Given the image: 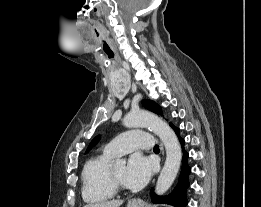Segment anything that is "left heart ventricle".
Segmentation results:
<instances>
[{"label": "left heart ventricle", "mask_w": 261, "mask_h": 207, "mask_svg": "<svg viewBox=\"0 0 261 207\" xmlns=\"http://www.w3.org/2000/svg\"><path fill=\"white\" fill-rule=\"evenodd\" d=\"M112 168H113L114 175L116 179L119 181V183L122 184L123 186H126L124 183V175L126 171L125 165H117Z\"/></svg>", "instance_id": "left-heart-ventricle-1"}]
</instances>
